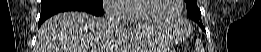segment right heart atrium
Returning <instances> with one entry per match:
<instances>
[{"label": "right heart atrium", "instance_id": "d8ad5b80", "mask_svg": "<svg viewBox=\"0 0 261 52\" xmlns=\"http://www.w3.org/2000/svg\"><path fill=\"white\" fill-rule=\"evenodd\" d=\"M125 2V0H104L102 6L108 16L126 18L128 17V10L124 8Z\"/></svg>", "mask_w": 261, "mask_h": 52}]
</instances>
